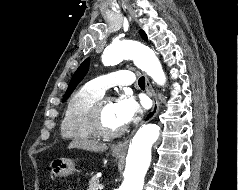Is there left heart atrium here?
<instances>
[{"label":"left heart atrium","mask_w":238,"mask_h":190,"mask_svg":"<svg viewBox=\"0 0 238 190\" xmlns=\"http://www.w3.org/2000/svg\"><path fill=\"white\" fill-rule=\"evenodd\" d=\"M117 107L120 118L125 124L133 121L142 112V105L130 94L120 97Z\"/></svg>","instance_id":"left-heart-atrium-1"}]
</instances>
